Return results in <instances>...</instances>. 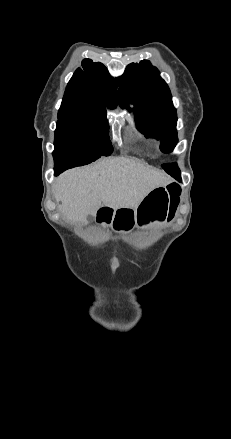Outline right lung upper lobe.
Returning <instances> with one entry per match:
<instances>
[{"mask_svg":"<svg viewBox=\"0 0 231 439\" xmlns=\"http://www.w3.org/2000/svg\"><path fill=\"white\" fill-rule=\"evenodd\" d=\"M119 78H112L107 68L90 59L82 61L65 90L59 110H103L104 106L115 108L121 105Z\"/></svg>","mask_w":231,"mask_h":439,"instance_id":"obj_1","label":"right lung upper lobe"}]
</instances>
